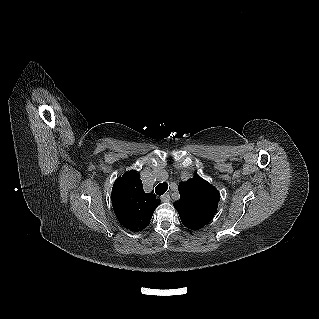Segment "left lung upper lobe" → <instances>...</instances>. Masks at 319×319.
Returning a JSON list of instances; mask_svg holds the SVG:
<instances>
[{
    "label": "left lung upper lobe",
    "mask_w": 319,
    "mask_h": 319,
    "mask_svg": "<svg viewBox=\"0 0 319 319\" xmlns=\"http://www.w3.org/2000/svg\"><path fill=\"white\" fill-rule=\"evenodd\" d=\"M180 200L174 203L183 225L203 228L213 217L220 199L218 190L199 176L179 183Z\"/></svg>",
    "instance_id": "5c2ea615"
}]
</instances>
